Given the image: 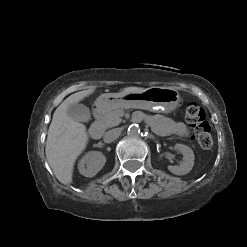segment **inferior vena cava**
<instances>
[{
	"instance_id": "602c4592",
	"label": "inferior vena cava",
	"mask_w": 247,
	"mask_h": 247,
	"mask_svg": "<svg viewBox=\"0 0 247 247\" xmlns=\"http://www.w3.org/2000/svg\"><path fill=\"white\" fill-rule=\"evenodd\" d=\"M122 132L121 128H114L109 131H107L103 137L104 142L111 143L114 140H116Z\"/></svg>"
}]
</instances>
